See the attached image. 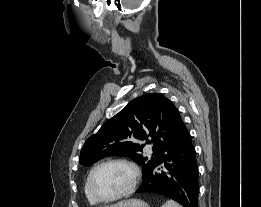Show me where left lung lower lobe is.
<instances>
[{"instance_id": "0a47b994", "label": "left lung lower lobe", "mask_w": 261, "mask_h": 207, "mask_svg": "<svg viewBox=\"0 0 261 207\" xmlns=\"http://www.w3.org/2000/svg\"><path fill=\"white\" fill-rule=\"evenodd\" d=\"M136 193H154L184 207H198V165L190 134L183 124L177 141L159 165L148 173Z\"/></svg>"}]
</instances>
